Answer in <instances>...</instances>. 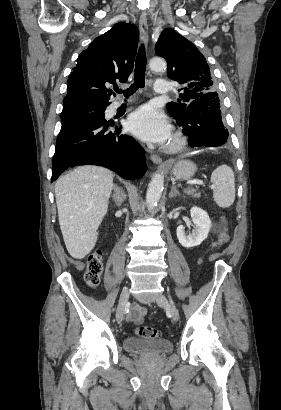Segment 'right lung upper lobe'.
Masks as SVG:
<instances>
[{
	"instance_id": "cb5924a9",
	"label": "right lung upper lobe",
	"mask_w": 281,
	"mask_h": 410,
	"mask_svg": "<svg viewBox=\"0 0 281 410\" xmlns=\"http://www.w3.org/2000/svg\"><path fill=\"white\" fill-rule=\"evenodd\" d=\"M138 42V29L119 22L97 37L83 51L69 75L63 107L73 105L107 106L109 84L127 81L132 72Z\"/></svg>"
}]
</instances>
